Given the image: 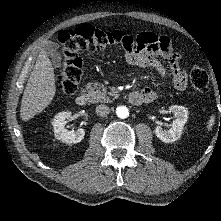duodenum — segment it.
Returning <instances> with one entry per match:
<instances>
[{"instance_id":"1","label":"duodenum","mask_w":221,"mask_h":221,"mask_svg":"<svg viewBox=\"0 0 221 221\" xmlns=\"http://www.w3.org/2000/svg\"><path fill=\"white\" fill-rule=\"evenodd\" d=\"M130 103L134 105H140L146 102V99L140 92H132L128 97ZM76 104L79 106H85L88 103V95L85 92H81L76 97Z\"/></svg>"}]
</instances>
